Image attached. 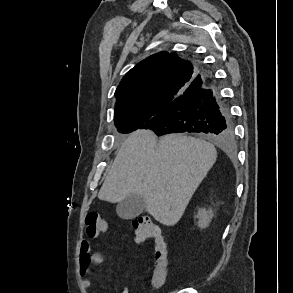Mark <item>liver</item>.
Segmentation results:
<instances>
[{"label": "liver", "instance_id": "obj_1", "mask_svg": "<svg viewBox=\"0 0 293 293\" xmlns=\"http://www.w3.org/2000/svg\"><path fill=\"white\" fill-rule=\"evenodd\" d=\"M216 158L214 145L204 140L183 134L157 140L153 131L137 130L119 148L98 198L118 203L141 195L151 216L173 226Z\"/></svg>", "mask_w": 293, "mask_h": 293}]
</instances>
